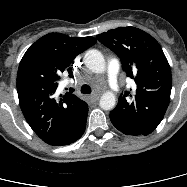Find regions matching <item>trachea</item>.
Here are the masks:
<instances>
[{"instance_id": "3493384b", "label": "trachea", "mask_w": 187, "mask_h": 187, "mask_svg": "<svg viewBox=\"0 0 187 187\" xmlns=\"http://www.w3.org/2000/svg\"><path fill=\"white\" fill-rule=\"evenodd\" d=\"M81 93H83V94H90V93H91V88H90V86H88V85H83V86L81 87Z\"/></svg>"}]
</instances>
